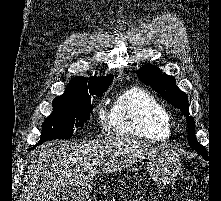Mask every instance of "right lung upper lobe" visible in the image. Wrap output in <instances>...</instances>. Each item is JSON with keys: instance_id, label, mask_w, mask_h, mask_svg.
I'll list each match as a JSON object with an SVG mask.
<instances>
[{"instance_id": "1", "label": "right lung upper lobe", "mask_w": 221, "mask_h": 201, "mask_svg": "<svg viewBox=\"0 0 221 201\" xmlns=\"http://www.w3.org/2000/svg\"><path fill=\"white\" fill-rule=\"evenodd\" d=\"M113 80L112 75L105 77H75L71 79L68 87L61 96L65 97H83L92 95L96 92L107 90Z\"/></svg>"}]
</instances>
